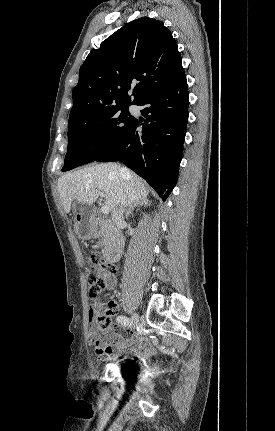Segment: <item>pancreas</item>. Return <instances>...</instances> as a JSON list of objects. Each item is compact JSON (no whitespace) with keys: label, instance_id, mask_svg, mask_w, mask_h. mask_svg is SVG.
Returning a JSON list of instances; mask_svg holds the SVG:
<instances>
[{"label":"pancreas","instance_id":"cf45deb5","mask_svg":"<svg viewBox=\"0 0 275 431\" xmlns=\"http://www.w3.org/2000/svg\"><path fill=\"white\" fill-rule=\"evenodd\" d=\"M109 233H105V234H103L102 232H101V235H100V240H99V242H98V245L100 246V247H103V246H105L106 245V240L109 238Z\"/></svg>","mask_w":275,"mask_h":431}]
</instances>
